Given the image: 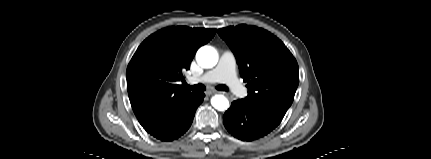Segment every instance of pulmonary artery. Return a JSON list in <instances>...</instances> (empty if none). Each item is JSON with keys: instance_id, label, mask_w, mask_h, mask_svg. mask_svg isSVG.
I'll use <instances>...</instances> for the list:
<instances>
[{"instance_id": "obj_1", "label": "pulmonary artery", "mask_w": 431, "mask_h": 159, "mask_svg": "<svg viewBox=\"0 0 431 159\" xmlns=\"http://www.w3.org/2000/svg\"><path fill=\"white\" fill-rule=\"evenodd\" d=\"M191 83H224L236 96L247 95L246 88L240 83L236 75V58L231 51H224L218 64L199 77L190 79Z\"/></svg>"}]
</instances>
